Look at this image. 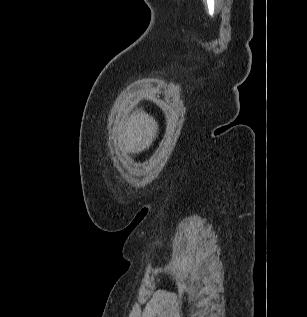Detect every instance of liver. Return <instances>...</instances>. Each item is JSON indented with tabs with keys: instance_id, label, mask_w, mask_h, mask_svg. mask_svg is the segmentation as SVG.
Masks as SVG:
<instances>
[{
	"instance_id": "liver-1",
	"label": "liver",
	"mask_w": 307,
	"mask_h": 317,
	"mask_svg": "<svg viewBox=\"0 0 307 317\" xmlns=\"http://www.w3.org/2000/svg\"><path fill=\"white\" fill-rule=\"evenodd\" d=\"M158 124L146 112L137 110L128 119L118 135L122 152L140 153L149 148L157 136Z\"/></svg>"
}]
</instances>
